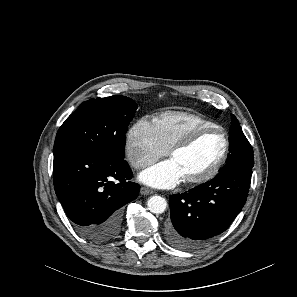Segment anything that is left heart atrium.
I'll return each mask as SVG.
<instances>
[{"instance_id": "39dd6f15", "label": "left heart atrium", "mask_w": 297, "mask_h": 297, "mask_svg": "<svg viewBox=\"0 0 297 297\" xmlns=\"http://www.w3.org/2000/svg\"><path fill=\"white\" fill-rule=\"evenodd\" d=\"M183 173L172 160L160 162L140 174V180L150 186L171 188L183 179Z\"/></svg>"}]
</instances>
